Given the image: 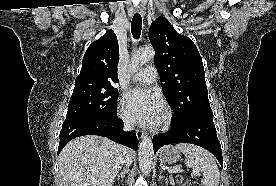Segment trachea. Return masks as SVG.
Instances as JSON below:
<instances>
[{
  "label": "trachea",
  "instance_id": "1",
  "mask_svg": "<svg viewBox=\"0 0 276 186\" xmlns=\"http://www.w3.org/2000/svg\"><path fill=\"white\" fill-rule=\"evenodd\" d=\"M142 29V18L139 13H136L131 22V31L135 39H139Z\"/></svg>",
  "mask_w": 276,
  "mask_h": 186
}]
</instances>
